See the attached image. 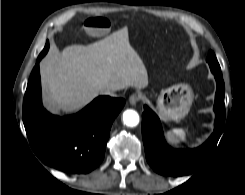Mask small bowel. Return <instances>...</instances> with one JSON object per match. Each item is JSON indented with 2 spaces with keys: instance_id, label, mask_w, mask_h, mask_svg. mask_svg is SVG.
Here are the masks:
<instances>
[{
  "instance_id": "1",
  "label": "small bowel",
  "mask_w": 245,
  "mask_h": 195,
  "mask_svg": "<svg viewBox=\"0 0 245 195\" xmlns=\"http://www.w3.org/2000/svg\"><path fill=\"white\" fill-rule=\"evenodd\" d=\"M110 27V22L104 17H91L86 20L85 28L90 33L99 34L107 31Z\"/></svg>"
}]
</instances>
